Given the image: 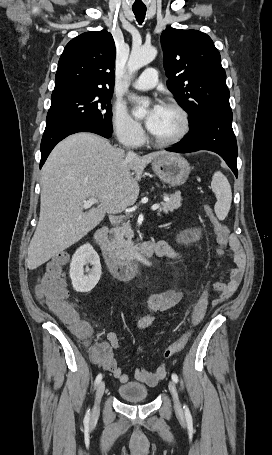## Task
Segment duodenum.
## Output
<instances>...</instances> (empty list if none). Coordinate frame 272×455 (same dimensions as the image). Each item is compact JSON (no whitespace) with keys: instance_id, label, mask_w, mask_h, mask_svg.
<instances>
[{"instance_id":"1","label":"duodenum","mask_w":272,"mask_h":455,"mask_svg":"<svg viewBox=\"0 0 272 455\" xmlns=\"http://www.w3.org/2000/svg\"><path fill=\"white\" fill-rule=\"evenodd\" d=\"M108 228L98 229L92 237V244L100 251L109 272L120 280L132 278L138 266L146 259L156 254V245L153 242H144L134 253L126 257L115 254L107 245Z\"/></svg>"}]
</instances>
